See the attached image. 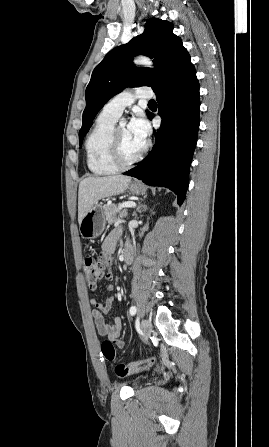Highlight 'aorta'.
I'll return each mask as SVG.
<instances>
[{"label": "aorta", "mask_w": 269, "mask_h": 447, "mask_svg": "<svg viewBox=\"0 0 269 447\" xmlns=\"http://www.w3.org/2000/svg\"><path fill=\"white\" fill-rule=\"evenodd\" d=\"M134 64H136V66H147V68H152V62H150L149 58H145V56H138V58L134 60Z\"/></svg>", "instance_id": "762f6f07"}]
</instances>
